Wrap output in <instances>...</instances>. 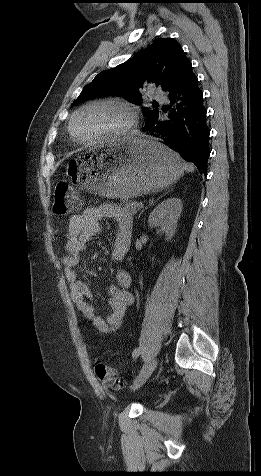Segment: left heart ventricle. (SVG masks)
<instances>
[{
	"instance_id": "b2bd125f",
	"label": "left heart ventricle",
	"mask_w": 261,
	"mask_h": 476,
	"mask_svg": "<svg viewBox=\"0 0 261 476\" xmlns=\"http://www.w3.org/2000/svg\"><path fill=\"white\" fill-rule=\"evenodd\" d=\"M127 120L126 113L111 105H98L78 115L74 123L75 135L81 140H91L121 127Z\"/></svg>"
}]
</instances>
